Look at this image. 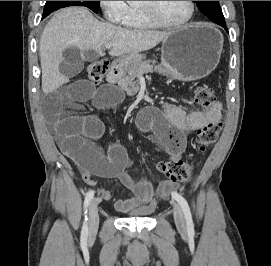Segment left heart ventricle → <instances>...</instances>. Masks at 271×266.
Here are the masks:
<instances>
[{
    "instance_id": "obj_1",
    "label": "left heart ventricle",
    "mask_w": 271,
    "mask_h": 266,
    "mask_svg": "<svg viewBox=\"0 0 271 266\" xmlns=\"http://www.w3.org/2000/svg\"><path fill=\"white\" fill-rule=\"evenodd\" d=\"M155 11L169 22H181L189 14L190 6L188 1H152ZM144 3V1H143ZM142 3V4H143Z\"/></svg>"
}]
</instances>
